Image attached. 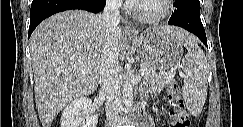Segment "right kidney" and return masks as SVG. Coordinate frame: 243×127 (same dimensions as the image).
<instances>
[{"label":"right kidney","instance_id":"right-kidney-1","mask_svg":"<svg viewBox=\"0 0 243 127\" xmlns=\"http://www.w3.org/2000/svg\"><path fill=\"white\" fill-rule=\"evenodd\" d=\"M92 101L87 97L74 99L66 105L61 116V127H96L97 115L91 113Z\"/></svg>","mask_w":243,"mask_h":127}]
</instances>
